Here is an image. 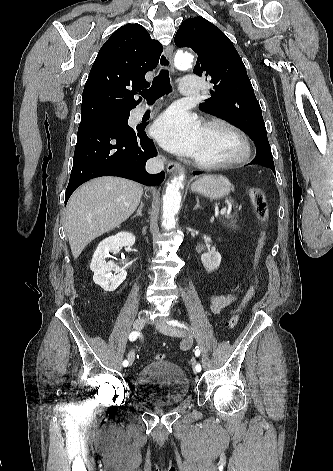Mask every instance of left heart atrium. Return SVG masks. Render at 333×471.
Returning <instances> with one entry per match:
<instances>
[{
	"label": "left heart atrium",
	"instance_id": "obj_1",
	"mask_svg": "<svg viewBox=\"0 0 333 471\" xmlns=\"http://www.w3.org/2000/svg\"><path fill=\"white\" fill-rule=\"evenodd\" d=\"M202 130L198 118L182 108L167 110L153 125V135L165 149L185 156L196 155Z\"/></svg>",
	"mask_w": 333,
	"mask_h": 471
}]
</instances>
